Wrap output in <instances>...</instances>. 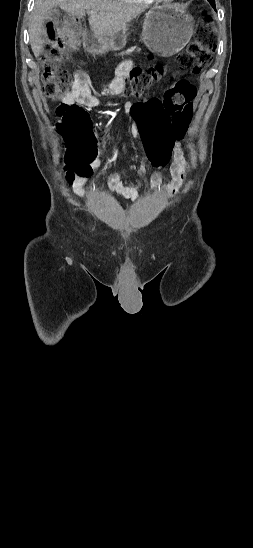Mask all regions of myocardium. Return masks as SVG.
Masks as SVG:
<instances>
[{"instance_id": "myocardium-1", "label": "myocardium", "mask_w": 253, "mask_h": 548, "mask_svg": "<svg viewBox=\"0 0 253 548\" xmlns=\"http://www.w3.org/2000/svg\"><path fill=\"white\" fill-rule=\"evenodd\" d=\"M154 1H157V2H165V3H166V2H172V1H174V0H154Z\"/></svg>"}]
</instances>
